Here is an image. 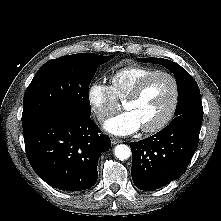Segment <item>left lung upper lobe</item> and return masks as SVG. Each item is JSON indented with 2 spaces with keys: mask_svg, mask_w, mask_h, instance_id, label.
Listing matches in <instances>:
<instances>
[{
  "mask_svg": "<svg viewBox=\"0 0 221 221\" xmlns=\"http://www.w3.org/2000/svg\"><path fill=\"white\" fill-rule=\"evenodd\" d=\"M141 62H150L164 65L176 77L178 86V104L175 118L170 124L196 120L202 122L203 107L200 98V89L196 81L177 63L164 58H138Z\"/></svg>",
  "mask_w": 221,
  "mask_h": 221,
  "instance_id": "left-lung-upper-lobe-1",
  "label": "left lung upper lobe"
}]
</instances>
